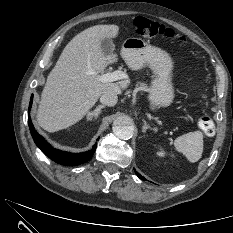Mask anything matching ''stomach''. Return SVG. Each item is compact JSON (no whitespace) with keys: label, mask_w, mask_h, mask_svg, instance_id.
I'll return each instance as SVG.
<instances>
[{"label":"stomach","mask_w":233,"mask_h":233,"mask_svg":"<svg viewBox=\"0 0 233 233\" xmlns=\"http://www.w3.org/2000/svg\"><path fill=\"white\" fill-rule=\"evenodd\" d=\"M121 56L132 70L149 66L156 78L149 89L152 109L169 106L174 99L172 85L173 61L170 55L140 38H128L124 41Z\"/></svg>","instance_id":"0dacf381"}]
</instances>
